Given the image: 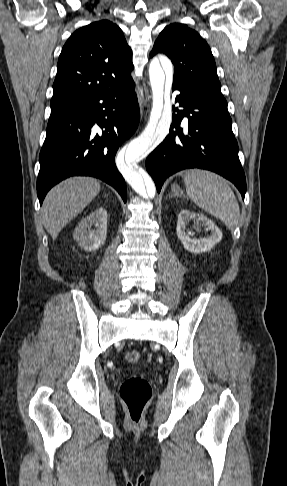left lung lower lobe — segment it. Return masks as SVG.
Returning <instances> with one entry per match:
<instances>
[{
    "mask_svg": "<svg viewBox=\"0 0 287 486\" xmlns=\"http://www.w3.org/2000/svg\"><path fill=\"white\" fill-rule=\"evenodd\" d=\"M175 90L180 91L175 102L183 110L174 109L169 134L146 159L157 191L170 175L187 168H201L233 182L244 198L246 180L229 113L209 103L187 83L173 81L172 91ZM184 116L188 118L187 129L180 127Z\"/></svg>",
    "mask_w": 287,
    "mask_h": 486,
    "instance_id": "1",
    "label": "left lung lower lobe"
}]
</instances>
